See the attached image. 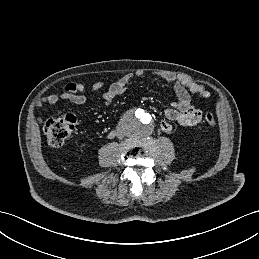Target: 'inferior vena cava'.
Here are the masks:
<instances>
[{
  "label": "inferior vena cava",
  "instance_id": "1",
  "mask_svg": "<svg viewBox=\"0 0 259 259\" xmlns=\"http://www.w3.org/2000/svg\"><path fill=\"white\" fill-rule=\"evenodd\" d=\"M117 135L121 138L123 137V133L121 131H117Z\"/></svg>",
  "mask_w": 259,
  "mask_h": 259
}]
</instances>
